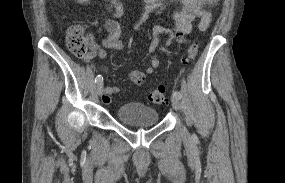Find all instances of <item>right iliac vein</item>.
<instances>
[{
	"label": "right iliac vein",
	"mask_w": 285,
	"mask_h": 183,
	"mask_svg": "<svg viewBox=\"0 0 285 183\" xmlns=\"http://www.w3.org/2000/svg\"><path fill=\"white\" fill-rule=\"evenodd\" d=\"M96 89L99 95H102V90H103V83L99 82L96 84Z\"/></svg>",
	"instance_id": "obj_1"
}]
</instances>
